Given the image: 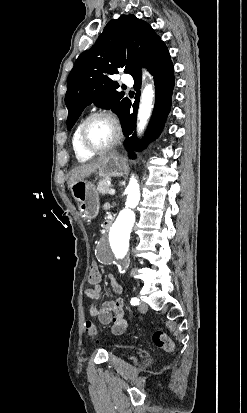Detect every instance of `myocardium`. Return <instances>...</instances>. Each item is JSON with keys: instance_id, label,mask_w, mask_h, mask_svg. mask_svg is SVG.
<instances>
[{"instance_id": "f54148a6", "label": "myocardium", "mask_w": 247, "mask_h": 413, "mask_svg": "<svg viewBox=\"0 0 247 413\" xmlns=\"http://www.w3.org/2000/svg\"><path fill=\"white\" fill-rule=\"evenodd\" d=\"M98 118H106L108 120H110L116 129V134L114 136V138L106 145L101 146V147H95V146H91L89 145L86 140H85V131L87 129V127L89 126V124ZM122 138V129L119 126V124L113 119V117L110 115V113H108L105 110H99L94 112L93 114H91L81 125L80 129H79V133H78V140H79V144L80 147L87 153H92V154H102L105 153L111 149H113L114 147H116Z\"/></svg>"}]
</instances>
